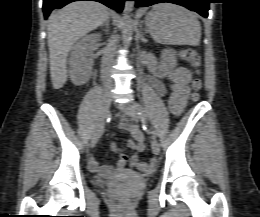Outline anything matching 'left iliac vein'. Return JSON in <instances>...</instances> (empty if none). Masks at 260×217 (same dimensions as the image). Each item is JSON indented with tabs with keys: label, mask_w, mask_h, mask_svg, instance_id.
<instances>
[{
	"label": "left iliac vein",
	"mask_w": 260,
	"mask_h": 217,
	"mask_svg": "<svg viewBox=\"0 0 260 217\" xmlns=\"http://www.w3.org/2000/svg\"><path fill=\"white\" fill-rule=\"evenodd\" d=\"M117 107L127 115H129L134 121L140 120V115L138 114V111L135 109L134 105L131 103H125V104H118ZM151 147L152 151L155 155H158L160 152V145L158 141L154 138H152L151 141Z\"/></svg>",
	"instance_id": "left-iliac-vein-1"
}]
</instances>
